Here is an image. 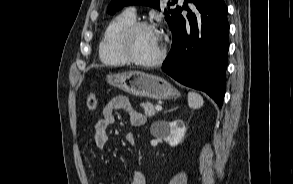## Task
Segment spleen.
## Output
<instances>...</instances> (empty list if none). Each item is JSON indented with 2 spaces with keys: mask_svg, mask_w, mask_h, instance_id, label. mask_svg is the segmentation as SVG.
I'll return each mask as SVG.
<instances>
[{
  "mask_svg": "<svg viewBox=\"0 0 293 184\" xmlns=\"http://www.w3.org/2000/svg\"><path fill=\"white\" fill-rule=\"evenodd\" d=\"M203 104H204V100L201 97V95H199L196 92H189L188 93V105L190 108L198 109V108L202 107Z\"/></svg>",
  "mask_w": 293,
  "mask_h": 184,
  "instance_id": "spleen-1",
  "label": "spleen"
}]
</instances>
